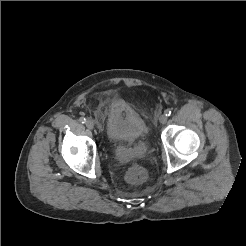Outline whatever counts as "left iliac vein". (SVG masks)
Returning <instances> with one entry per match:
<instances>
[{"mask_svg": "<svg viewBox=\"0 0 246 246\" xmlns=\"http://www.w3.org/2000/svg\"><path fill=\"white\" fill-rule=\"evenodd\" d=\"M167 116L165 114H162L160 117H159V121L160 123L162 124H165L167 122Z\"/></svg>", "mask_w": 246, "mask_h": 246, "instance_id": "4c4485c4", "label": "left iliac vein"}]
</instances>
